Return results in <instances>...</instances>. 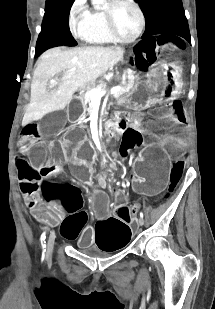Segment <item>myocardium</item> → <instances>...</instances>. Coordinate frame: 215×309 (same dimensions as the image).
<instances>
[{"mask_svg": "<svg viewBox=\"0 0 215 309\" xmlns=\"http://www.w3.org/2000/svg\"><path fill=\"white\" fill-rule=\"evenodd\" d=\"M119 7H126L128 8L134 15V30L131 35V32L128 29H123L121 27H115V21L111 19V13L107 12L106 13V20H107V35L109 37L116 38V43L119 44H129L134 42L141 34L142 29H143V15L141 11L138 9L137 6L132 5V4H122ZM118 8V7H117ZM111 11L115 10L114 6L110 7ZM127 38V39H125Z\"/></svg>", "mask_w": 215, "mask_h": 309, "instance_id": "myocardium-1", "label": "myocardium"}]
</instances>
